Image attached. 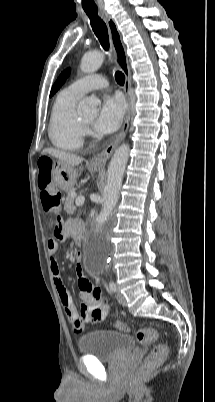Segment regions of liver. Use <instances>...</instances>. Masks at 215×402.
<instances>
[{"mask_svg": "<svg viewBox=\"0 0 215 402\" xmlns=\"http://www.w3.org/2000/svg\"><path fill=\"white\" fill-rule=\"evenodd\" d=\"M42 153L50 154L53 157L57 158L59 161L64 162L70 166H77L83 161L82 157L52 148L44 149Z\"/></svg>", "mask_w": 215, "mask_h": 402, "instance_id": "1", "label": "liver"}]
</instances>
